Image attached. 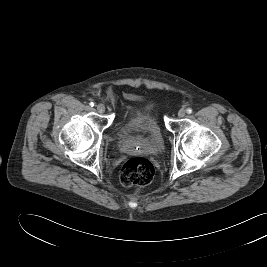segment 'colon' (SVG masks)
Segmentation results:
<instances>
[{
  "instance_id": "obj_1",
  "label": "colon",
  "mask_w": 267,
  "mask_h": 267,
  "mask_svg": "<svg viewBox=\"0 0 267 267\" xmlns=\"http://www.w3.org/2000/svg\"><path fill=\"white\" fill-rule=\"evenodd\" d=\"M154 174V166L148 159L143 157L131 158L121 167L120 183L126 188L145 186L152 182Z\"/></svg>"
}]
</instances>
